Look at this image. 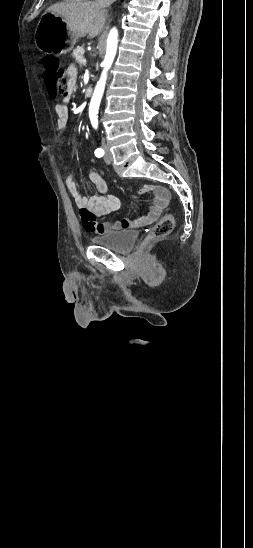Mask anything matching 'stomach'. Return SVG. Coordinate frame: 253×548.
Listing matches in <instances>:
<instances>
[{
	"instance_id": "stomach-1",
	"label": "stomach",
	"mask_w": 253,
	"mask_h": 548,
	"mask_svg": "<svg viewBox=\"0 0 253 548\" xmlns=\"http://www.w3.org/2000/svg\"><path fill=\"white\" fill-rule=\"evenodd\" d=\"M76 43L64 20L52 13H44L35 31V45L46 54L69 53Z\"/></svg>"
}]
</instances>
